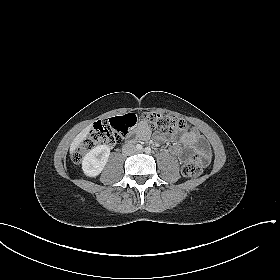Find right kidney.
Returning a JSON list of instances; mask_svg holds the SVG:
<instances>
[{"label":"right kidney","mask_w":280,"mask_h":280,"mask_svg":"<svg viewBox=\"0 0 280 280\" xmlns=\"http://www.w3.org/2000/svg\"><path fill=\"white\" fill-rule=\"evenodd\" d=\"M110 155L107 145H99L90 150L82 160L83 173L88 177L98 176L104 169Z\"/></svg>","instance_id":"1"}]
</instances>
